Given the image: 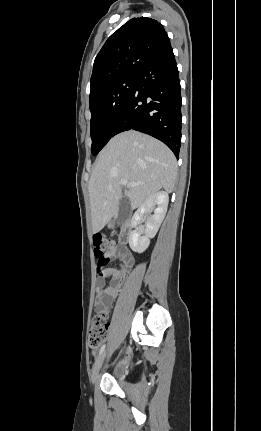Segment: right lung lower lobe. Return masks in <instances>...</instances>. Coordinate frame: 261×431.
<instances>
[{
	"label": "right lung lower lobe",
	"instance_id": "right-lung-lower-lobe-1",
	"mask_svg": "<svg viewBox=\"0 0 261 431\" xmlns=\"http://www.w3.org/2000/svg\"><path fill=\"white\" fill-rule=\"evenodd\" d=\"M181 94L172 47L145 65L113 131L130 129L164 142L179 158L181 146Z\"/></svg>",
	"mask_w": 261,
	"mask_h": 431
}]
</instances>
